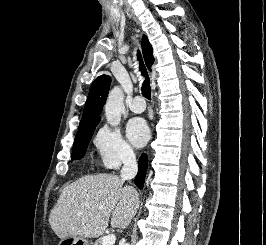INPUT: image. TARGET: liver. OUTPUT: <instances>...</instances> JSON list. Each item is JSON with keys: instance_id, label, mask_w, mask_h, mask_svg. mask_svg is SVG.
<instances>
[{"instance_id": "liver-1", "label": "liver", "mask_w": 266, "mask_h": 245, "mask_svg": "<svg viewBox=\"0 0 266 245\" xmlns=\"http://www.w3.org/2000/svg\"><path fill=\"white\" fill-rule=\"evenodd\" d=\"M123 183L116 175H87L65 185L49 215L52 231L59 239H96L106 231L110 215L113 229H126L140 201L136 189Z\"/></svg>"}]
</instances>
